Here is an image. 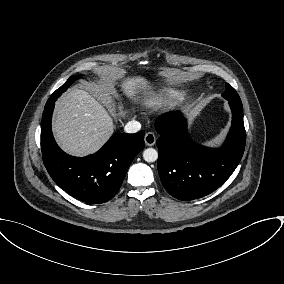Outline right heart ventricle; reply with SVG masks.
Instances as JSON below:
<instances>
[{
    "label": "right heart ventricle",
    "instance_id": "obj_1",
    "mask_svg": "<svg viewBox=\"0 0 284 284\" xmlns=\"http://www.w3.org/2000/svg\"><path fill=\"white\" fill-rule=\"evenodd\" d=\"M163 95L166 96V97H169V98L179 97V94L177 92H174V91H167Z\"/></svg>",
    "mask_w": 284,
    "mask_h": 284
}]
</instances>
